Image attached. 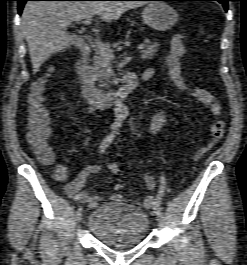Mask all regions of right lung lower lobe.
Masks as SVG:
<instances>
[{
    "instance_id": "right-lung-lower-lobe-1",
    "label": "right lung lower lobe",
    "mask_w": 247,
    "mask_h": 265,
    "mask_svg": "<svg viewBox=\"0 0 247 265\" xmlns=\"http://www.w3.org/2000/svg\"><path fill=\"white\" fill-rule=\"evenodd\" d=\"M16 1H18V12L19 14H21L23 6L26 3V1H32V0H16ZM33 1H55V0H33ZM58 1H62V0H58ZM67 1H105V0H67Z\"/></svg>"
}]
</instances>
